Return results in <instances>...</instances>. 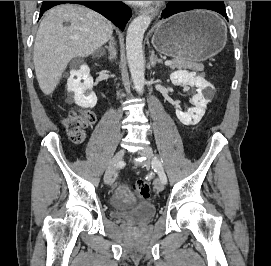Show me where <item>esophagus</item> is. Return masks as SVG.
Wrapping results in <instances>:
<instances>
[{
    "label": "esophagus",
    "instance_id": "1",
    "mask_svg": "<svg viewBox=\"0 0 271 266\" xmlns=\"http://www.w3.org/2000/svg\"><path fill=\"white\" fill-rule=\"evenodd\" d=\"M139 15H150L151 17H155L158 13L157 7H149L138 10Z\"/></svg>",
    "mask_w": 271,
    "mask_h": 266
}]
</instances>
